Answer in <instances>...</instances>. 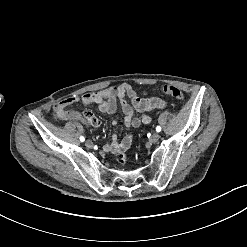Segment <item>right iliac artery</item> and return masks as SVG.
Masks as SVG:
<instances>
[{
	"mask_svg": "<svg viewBox=\"0 0 247 247\" xmlns=\"http://www.w3.org/2000/svg\"><path fill=\"white\" fill-rule=\"evenodd\" d=\"M80 141L83 142L85 141V138L83 136L80 137Z\"/></svg>",
	"mask_w": 247,
	"mask_h": 247,
	"instance_id": "right-iliac-artery-1",
	"label": "right iliac artery"
}]
</instances>
